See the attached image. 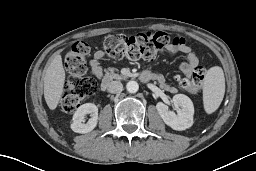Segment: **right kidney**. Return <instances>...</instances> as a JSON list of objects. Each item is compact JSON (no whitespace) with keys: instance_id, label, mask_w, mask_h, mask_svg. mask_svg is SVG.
I'll use <instances>...</instances> for the list:
<instances>
[{"instance_id":"ca27d5eb","label":"right kidney","mask_w":256,"mask_h":171,"mask_svg":"<svg viewBox=\"0 0 256 171\" xmlns=\"http://www.w3.org/2000/svg\"><path fill=\"white\" fill-rule=\"evenodd\" d=\"M91 114V118L87 123H84V116ZM98 108L93 103H85L81 105L73 115L71 129L76 133L85 134L91 132L97 125Z\"/></svg>"}]
</instances>
